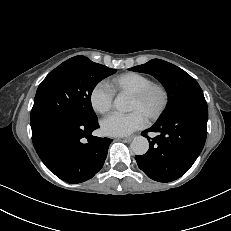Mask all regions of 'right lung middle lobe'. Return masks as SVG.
Returning <instances> with one entry per match:
<instances>
[{"label": "right lung middle lobe", "mask_w": 231, "mask_h": 231, "mask_svg": "<svg viewBox=\"0 0 231 231\" xmlns=\"http://www.w3.org/2000/svg\"><path fill=\"white\" fill-rule=\"evenodd\" d=\"M115 69L75 56L60 64L39 85L31 111L32 135L39 136L57 120L97 119L91 105L94 87Z\"/></svg>", "instance_id": "right-lung-middle-lobe-1"}]
</instances>
